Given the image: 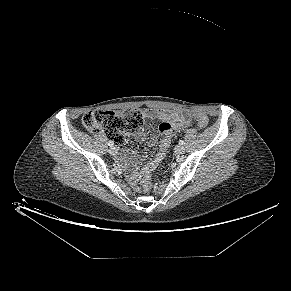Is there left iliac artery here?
<instances>
[{
  "instance_id": "obj_1",
  "label": "left iliac artery",
  "mask_w": 291,
  "mask_h": 291,
  "mask_svg": "<svg viewBox=\"0 0 291 291\" xmlns=\"http://www.w3.org/2000/svg\"><path fill=\"white\" fill-rule=\"evenodd\" d=\"M179 144H180V145H183V144H184V141H183V140H180V141H179Z\"/></svg>"
}]
</instances>
